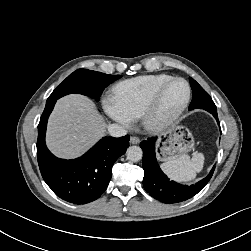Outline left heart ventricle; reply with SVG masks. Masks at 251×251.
I'll return each mask as SVG.
<instances>
[{"mask_svg": "<svg viewBox=\"0 0 251 251\" xmlns=\"http://www.w3.org/2000/svg\"><path fill=\"white\" fill-rule=\"evenodd\" d=\"M187 90L183 82L171 84L164 92L158 109V116L163 118L178 109L186 98Z\"/></svg>", "mask_w": 251, "mask_h": 251, "instance_id": "1", "label": "left heart ventricle"}]
</instances>
